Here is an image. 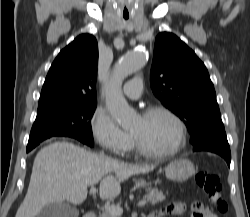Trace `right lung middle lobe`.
<instances>
[{"mask_svg":"<svg viewBox=\"0 0 250 217\" xmlns=\"http://www.w3.org/2000/svg\"><path fill=\"white\" fill-rule=\"evenodd\" d=\"M95 108L96 102H93L37 112L26 151H31L43 140L52 136L75 138L92 147L94 141L90 120Z\"/></svg>","mask_w":250,"mask_h":217,"instance_id":"dd1d6c3e","label":"right lung middle lobe"}]
</instances>
